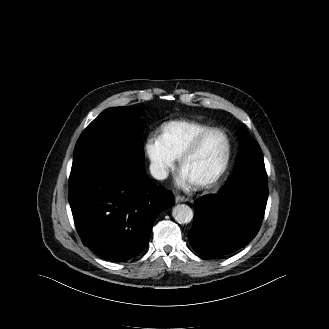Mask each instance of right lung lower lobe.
Returning <instances> with one entry per match:
<instances>
[{"instance_id":"obj_1","label":"right lung lower lobe","mask_w":329,"mask_h":329,"mask_svg":"<svg viewBox=\"0 0 329 329\" xmlns=\"http://www.w3.org/2000/svg\"><path fill=\"white\" fill-rule=\"evenodd\" d=\"M69 203L85 246L109 261H125L149 243L157 215L173 206L171 192L143 171L93 165L70 176Z\"/></svg>"}]
</instances>
